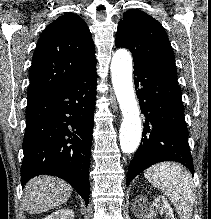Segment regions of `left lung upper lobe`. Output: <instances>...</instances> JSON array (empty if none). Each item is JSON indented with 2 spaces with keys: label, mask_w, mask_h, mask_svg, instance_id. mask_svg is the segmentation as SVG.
<instances>
[{
  "label": "left lung upper lobe",
  "mask_w": 211,
  "mask_h": 219,
  "mask_svg": "<svg viewBox=\"0 0 211 219\" xmlns=\"http://www.w3.org/2000/svg\"><path fill=\"white\" fill-rule=\"evenodd\" d=\"M115 45L128 48L134 62L176 67L164 28L142 11L130 9L123 14L118 23Z\"/></svg>",
  "instance_id": "5c2ea615"
}]
</instances>
